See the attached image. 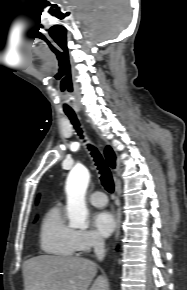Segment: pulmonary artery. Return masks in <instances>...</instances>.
<instances>
[{
  "label": "pulmonary artery",
  "instance_id": "obj_1",
  "mask_svg": "<svg viewBox=\"0 0 187 290\" xmlns=\"http://www.w3.org/2000/svg\"><path fill=\"white\" fill-rule=\"evenodd\" d=\"M89 200L91 204L97 207H103L107 203V198L103 192L97 191L90 195Z\"/></svg>",
  "mask_w": 187,
  "mask_h": 290
}]
</instances>
